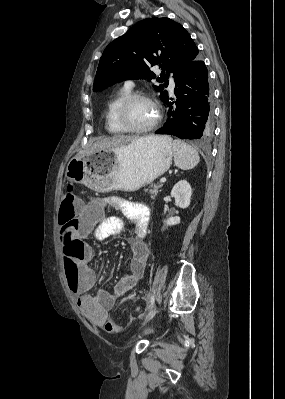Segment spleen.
Returning <instances> with one entry per match:
<instances>
[{
	"label": "spleen",
	"mask_w": 285,
	"mask_h": 399,
	"mask_svg": "<svg viewBox=\"0 0 285 399\" xmlns=\"http://www.w3.org/2000/svg\"><path fill=\"white\" fill-rule=\"evenodd\" d=\"M175 165L182 170L193 169L200 161L196 149L180 139L172 140Z\"/></svg>",
	"instance_id": "spleen-1"
}]
</instances>
